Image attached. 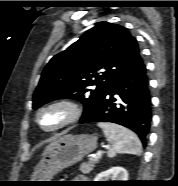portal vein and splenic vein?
Masks as SVG:
<instances>
[{
    "instance_id": "18ae733b",
    "label": "portal vein and splenic vein",
    "mask_w": 178,
    "mask_h": 186,
    "mask_svg": "<svg viewBox=\"0 0 178 186\" xmlns=\"http://www.w3.org/2000/svg\"><path fill=\"white\" fill-rule=\"evenodd\" d=\"M101 155H102V151L100 150L95 155H92L90 160H94V159H96L98 157H101Z\"/></svg>"
}]
</instances>
